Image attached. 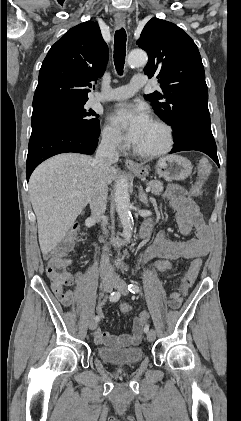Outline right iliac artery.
Here are the masks:
<instances>
[{
	"label": "right iliac artery",
	"instance_id": "1",
	"mask_svg": "<svg viewBox=\"0 0 241 421\" xmlns=\"http://www.w3.org/2000/svg\"><path fill=\"white\" fill-rule=\"evenodd\" d=\"M119 298H120V294L118 293V292H112L111 294H110V301L111 302H116V301H118L119 300ZM96 321H99L100 320V317L99 316H95V318H94Z\"/></svg>",
	"mask_w": 241,
	"mask_h": 421
}]
</instances>
